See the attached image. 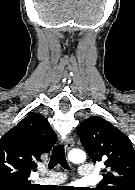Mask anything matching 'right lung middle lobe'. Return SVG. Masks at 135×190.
Listing matches in <instances>:
<instances>
[{"label":"right lung middle lobe","mask_w":135,"mask_h":190,"mask_svg":"<svg viewBox=\"0 0 135 190\" xmlns=\"http://www.w3.org/2000/svg\"><path fill=\"white\" fill-rule=\"evenodd\" d=\"M35 185L27 184H0V190H35Z\"/></svg>","instance_id":"1"}]
</instances>
